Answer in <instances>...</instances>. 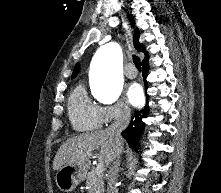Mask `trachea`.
I'll return each instance as SVG.
<instances>
[{"instance_id": "obj_1", "label": "trachea", "mask_w": 221, "mask_h": 193, "mask_svg": "<svg viewBox=\"0 0 221 193\" xmlns=\"http://www.w3.org/2000/svg\"><path fill=\"white\" fill-rule=\"evenodd\" d=\"M133 62H134V64H135L136 68H137L139 71H141L140 58L137 57V56H135V55H133Z\"/></svg>"}]
</instances>
